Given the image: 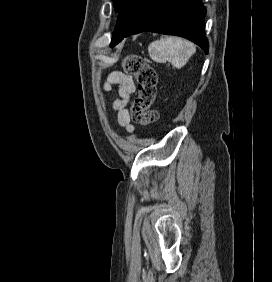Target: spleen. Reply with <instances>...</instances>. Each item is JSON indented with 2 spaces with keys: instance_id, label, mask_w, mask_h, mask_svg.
<instances>
[{
  "instance_id": "obj_1",
  "label": "spleen",
  "mask_w": 272,
  "mask_h": 282,
  "mask_svg": "<svg viewBox=\"0 0 272 282\" xmlns=\"http://www.w3.org/2000/svg\"><path fill=\"white\" fill-rule=\"evenodd\" d=\"M150 57L157 62L168 60L175 68L183 67L195 53L193 43L178 37L161 38L149 44Z\"/></svg>"
}]
</instances>
